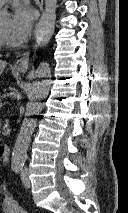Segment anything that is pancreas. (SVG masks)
I'll use <instances>...</instances> for the list:
<instances>
[{
  "mask_svg": "<svg viewBox=\"0 0 128 213\" xmlns=\"http://www.w3.org/2000/svg\"><path fill=\"white\" fill-rule=\"evenodd\" d=\"M0 102H1V97H0ZM8 126H9V125H8V122H6V123L4 124V126H3L2 134H3L4 136L10 134V129H9Z\"/></svg>",
  "mask_w": 128,
  "mask_h": 213,
  "instance_id": "cf45deb5",
  "label": "pancreas"
}]
</instances>
